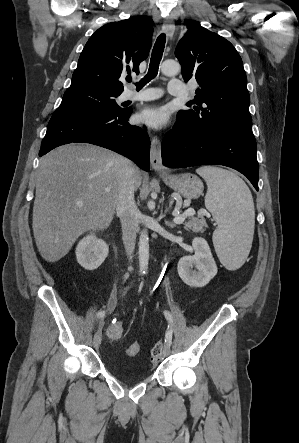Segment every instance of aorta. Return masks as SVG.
Listing matches in <instances>:
<instances>
[{
    "label": "aorta",
    "instance_id": "1",
    "mask_svg": "<svg viewBox=\"0 0 299 443\" xmlns=\"http://www.w3.org/2000/svg\"><path fill=\"white\" fill-rule=\"evenodd\" d=\"M180 70V64L173 60H166L161 65V72L165 76H175L180 72ZM138 247L139 269L140 272L145 273L148 269L149 263V237L145 230H143L140 234Z\"/></svg>",
    "mask_w": 299,
    "mask_h": 443
}]
</instances>
